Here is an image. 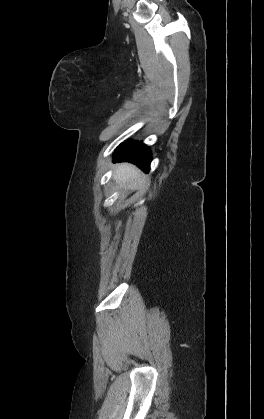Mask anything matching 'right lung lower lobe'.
<instances>
[{"mask_svg":"<svg viewBox=\"0 0 264 419\" xmlns=\"http://www.w3.org/2000/svg\"><path fill=\"white\" fill-rule=\"evenodd\" d=\"M151 152L142 142H126L118 147L114 154V162H131L146 173L150 169Z\"/></svg>","mask_w":264,"mask_h":419,"instance_id":"98d812e1","label":"right lung lower lobe"}]
</instances>
